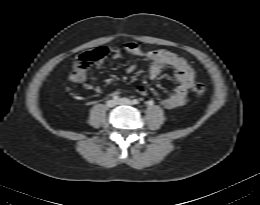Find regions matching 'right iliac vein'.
Masks as SVG:
<instances>
[{"mask_svg":"<svg viewBox=\"0 0 260 205\" xmlns=\"http://www.w3.org/2000/svg\"><path fill=\"white\" fill-rule=\"evenodd\" d=\"M117 101L116 100H113V99H111V100H108L107 101V106L109 107V108H112V107H115L116 105H117Z\"/></svg>","mask_w":260,"mask_h":205,"instance_id":"right-iliac-vein-1","label":"right iliac vein"}]
</instances>
